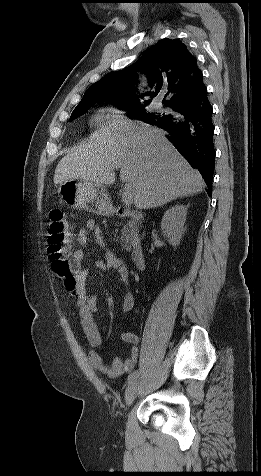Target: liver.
Instances as JSON below:
<instances>
[{
	"label": "liver",
	"instance_id": "liver-1",
	"mask_svg": "<svg viewBox=\"0 0 261 476\" xmlns=\"http://www.w3.org/2000/svg\"><path fill=\"white\" fill-rule=\"evenodd\" d=\"M120 180L129 185L137 209L163 206L205 188L194 170L162 130L141 121L116 118L71 149L55 169L54 183L85 180L96 186Z\"/></svg>",
	"mask_w": 261,
	"mask_h": 476
}]
</instances>
